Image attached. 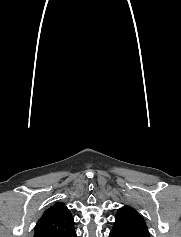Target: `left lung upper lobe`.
<instances>
[{
  "label": "left lung upper lobe",
  "mask_w": 181,
  "mask_h": 237,
  "mask_svg": "<svg viewBox=\"0 0 181 237\" xmlns=\"http://www.w3.org/2000/svg\"><path fill=\"white\" fill-rule=\"evenodd\" d=\"M111 231L121 234L131 233L143 237H150L143 217L129 206H124L117 211L115 223Z\"/></svg>",
  "instance_id": "5c2ea615"
}]
</instances>
